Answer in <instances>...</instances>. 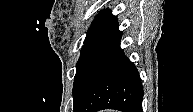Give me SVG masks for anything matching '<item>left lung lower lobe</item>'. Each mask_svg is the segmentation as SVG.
<instances>
[{
    "mask_svg": "<svg viewBox=\"0 0 193 112\" xmlns=\"http://www.w3.org/2000/svg\"><path fill=\"white\" fill-rule=\"evenodd\" d=\"M121 35L115 18L82 49L76 65L73 112H142L141 79L120 48Z\"/></svg>",
    "mask_w": 193,
    "mask_h": 112,
    "instance_id": "obj_1",
    "label": "left lung lower lobe"
}]
</instances>
